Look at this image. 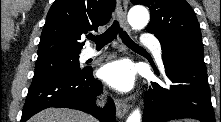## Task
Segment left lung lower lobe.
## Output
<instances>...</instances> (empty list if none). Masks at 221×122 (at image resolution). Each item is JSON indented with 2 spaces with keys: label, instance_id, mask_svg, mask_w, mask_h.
<instances>
[{
  "label": "left lung lower lobe",
  "instance_id": "left-lung-lower-lobe-1",
  "mask_svg": "<svg viewBox=\"0 0 221 122\" xmlns=\"http://www.w3.org/2000/svg\"><path fill=\"white\" fill-rule=\"evenodd\" d=\"M168 88L151 82L145 94L142 122L195 118L215 122L204 58L189 54H162Z\"/></svg>",
  "mask_w": 221,
  "mask_h": 122
}]
</instances>
